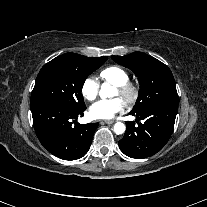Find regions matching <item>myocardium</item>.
<instances>
[{"label": "myocardium", "instance_id": "myocardium-1", "mask_svg": "<svg viewBox=\"0 0 207 207\" xmlns=\"http://www.w3.org/2000/svg\"><path fill=\"white\" fill-rule=\"evenodd\" d=\"M117 92L118 95L130 107L134 106L137 103L140 95L138 86L129 82L124 85L117 86Z\"/></svg>", "mask_w": 207, "mask_h": 207}]
</instances>
